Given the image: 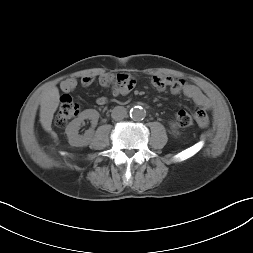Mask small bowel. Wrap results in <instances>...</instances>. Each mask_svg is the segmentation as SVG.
<instances>
[{
    "label": "small bowel",
    "mask_w": 253,
    "mask_h": 253,
    "mask_svg": "<svg viewBox=\"0 0 253 253\" xmlns=\"http://www.w3.org/2000/svg\"><path fill=\"white\" fill-rule=\"evenodd\" d=\"M95 79L94 76L86 75L80 79V84L83 87H89L94 83ZM97 80L102 87L112 86V91L115 96L127 94L134 86L133 77L124 73L117 75L104 73L101 74ZM152 84L159 91H165L168 89L174 95L183 94L185 97L192 100L197 106L195 118L198 124L201 127H206L208 125L206 111L210 108V102L196 86L169 76H154L152 78ZM77 85V79L68 78L62 81L60 87L64 92H71L77 87ZM96 103L99 106H104L108 103V99L101 96L97 98Z\"/></svg>",
    "instance_id": "c3829d8e"
}]
</instances>
